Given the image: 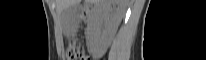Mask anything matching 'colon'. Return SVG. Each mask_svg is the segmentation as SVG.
I'll return each instance as SVG.
<instances>
[{"label": "colon", "mask_w": 206, "mask_h": 60, "mask_svg": "<svg viewBox=\"0 0 206 60\" xmlns=\"http://www.w3.org/2000/svg\"><path fill=\"white\" fill-rule=\"evenodd\" d=\"M66 57L68 60H90V57L85 54L79 38L69 40L66 47Z\"/></svg>", "instance_id": "5ec220e1"}]
</instances>
